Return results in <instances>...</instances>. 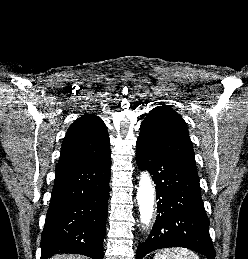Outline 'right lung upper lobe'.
<instances>
[{
  "label": "right lung upper lobe",
  "instance_id": "right-lung-upper-lobe-1",
  "mask_svg": "<svg viewBox=\"0 0 248 259\" xmlns=\"http://www.w3.org/2000/svg\"><path fill=\"white\" fill-rule=\"evenodd\" d=\"M109 144L104 122L95 115L85 114L69 127L56 168L97 160L110 152Z\"/></svg>",
  "mask_w": 248,
  "mask_h": 259
}]
</instances>
